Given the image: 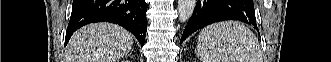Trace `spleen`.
Instances as JSON below:
<instances>
[{
  "label": "spleen",
  "mask_w": 331,
  "mask_h": 62,
  "mask_svg": "<svg viewBox=\"0 0 331 62\" xmlns=\"http://www.w3.org/2000/svg\"><path fill=\"white\" fill-rule=\"evenodd\" d=\"M196 56L201 62H259L256 36L235 21L212 24L199 33Z\"/></svg>",
  "instance_id": "obj_1"
}]
</instances>
